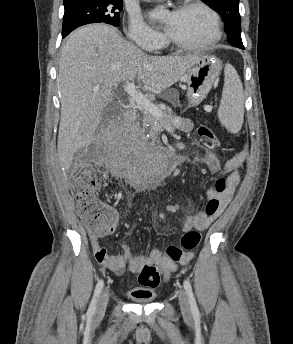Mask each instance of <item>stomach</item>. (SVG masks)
<instances>
[{
    "mask_svg": "<svg viewBox=\"0 0 293 344\" xmlns=\"http://www.w3.org/2000/svg\"><path fill=\"white\" fill-rule=\"evenodd\" d=\"M220 61L208 55H201L198 61L188 69L181 80L187 84V96L190 105L202 102L210 92L220 74Z\"/></svg>",
    "mask_w": 293,
    "mask_h": 344,
    "instance_id": "1",
    "label": "stomach"
}]
</instances>
